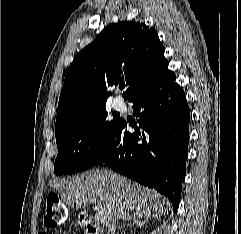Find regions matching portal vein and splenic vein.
I'll return each instance as SVG.
<instances>
[{
  "instance_id": "1",
  "label": "portal vein and splenic vein",
  "mask_w": 241,
  "mask_h": 234,
  "mask_svg": "<svg viewBox=\"0 0 241 234\" xmlns=\"http://www.w3.org/2000/svg\"><path fill=\"white\" fill-rule=\"evenodd\" d=\"M95 210H99V206H95V208H94ZM95 220L97 221V222H103V218H102V216H101V214L99 213V212H97L96 213V215H95Z\"/></svg>"
}]
</instances>
